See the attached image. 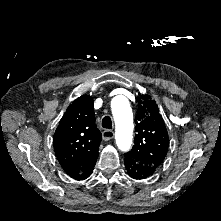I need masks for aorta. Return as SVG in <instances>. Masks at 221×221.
I'll list each match as a JSON object with an SVG mask.
<instances>
[{"instance_id": "1", "label": "aorta", "mask_w": 221, "mask_h": 221, "mask_svg": "<svg viewBox=\"0 0 221 221\" xmlns=\"http://www.w3.org/2000/svg\"><path fill=\"white\" fill-rule=\"evenodd\" d=\"M112 113L116 125L117 147L122 151H128L133 138V114L126 97L117 96L113 99Z\"/></svg>"}]
</instances>
